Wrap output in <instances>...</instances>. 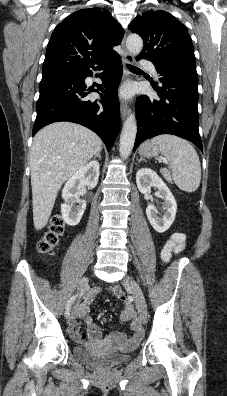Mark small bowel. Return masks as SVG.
Returning a JSON list of instances; mask_svg holds the SVG:
<instances>
[{
  "instance_id": "1",
  "label": "small bowel",
  "mask_w": 227,
  "mask_h": 396,
  "mask_svg": "<svg viewBox=\"0 0 227 396\" xmlns=\"http://www.w3.org/2000/svg\"><path fill=\"white\" fill-rule=\"evenodd\" d=\"M186 247V235L184 233L175 232L173 233L161 251V257L164 262H167L172 255L181 253ZM109 290L120 297L122 291L120 288L114 286L110 287ZM101 292V288H96L90 292L84 299L81 306L78 308L76 318L70 324V332L74 339L79 342L90 341L94 344L107 343L117 346H130L137 344L143 336L139 321L135 317V311L131 304L126 303L124 310L122 311L120 318L122 321L131 322V336L127 337L124 333L114 331L103 337L101 331L97 325L92 321L90 314V306L95 300L96 296ZM79 320H83L87 325L86 332L80 330Z\"/></svg>"
}]
</instances>
